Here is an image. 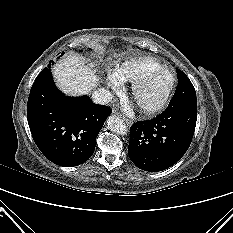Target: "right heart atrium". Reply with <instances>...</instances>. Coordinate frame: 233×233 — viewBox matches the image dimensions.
<instances>
[{"label": "right heart atrium", "mask_w": 233, "mask_h": 233, "mask_svg": "<svg viewBox=\"0 0 233 233\" xmlns=\"http://www.w3.org/2000/svg\"><path fill=\"white\" fill-rule=\"evenodd\" d=\"M106 83L108 87H110L114 91H119L123 85L115 71H110L107 73Z\"/></svg>", "instance_id": "obj_1"}]
</instances>
